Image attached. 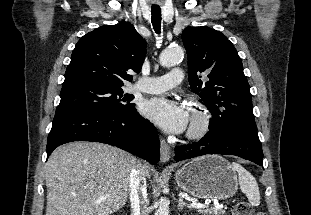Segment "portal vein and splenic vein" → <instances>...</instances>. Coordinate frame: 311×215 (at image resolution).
Segmentation results:
<instances>
[{
  "label": "portal vein and splenic vein",
  "instance_id": "1",
  "mask_svg": "<svg viewBox=\"0 0 311 215\" xmlns=\"http://www.w3.org/2000/svg\"><path fill=\"white\" fill-rule=\"evenodd\" d=\"M104 200V197H101L100 198V201ZM209 203H205V204H202V203H192L191 206L194 207V208H205Z\"/></svg>",
  "mask_w": 311,
  "mask_h": 215
}]
</instances>
